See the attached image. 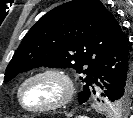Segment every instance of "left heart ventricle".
Masks as SVG:
<instances>
[{
	"label": "left heart ventricle",
	"instance_id": "b2bd125f",
	"mask_svg": "<svg viewBox=\"0 0 133 118\" xmlns=\"http://www.w3.org/2000/svg\"><path fill=\"white\" fill-rule=\"evenodd\" d=\"M61 84L49 77L31 80L24 88L22 97L28 107H39L57 101L62 95Z\"/></svg>",
	"mask_w": 133,
	"mask_h": 118
}]
</instances>
